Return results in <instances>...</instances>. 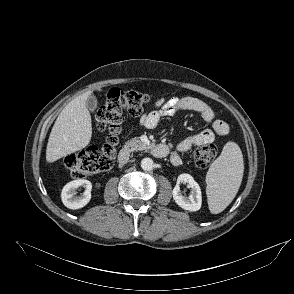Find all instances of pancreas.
<instances>
[{"label":"pancreas","mask_w":294,"mask_h":294,"mask_svg":"<svg viewBox=\"0 0 294 294\" xmlns=\"http://www.w3.org/2000/svg\"><path fill=\"white\" fill-rule=\"evenodd\" d=\"M147 147L148 145L138 138H132L124 145V149L129 152L145 150Z\"/></svg>","instance_id":"cf45deb5"}]
</instances>
